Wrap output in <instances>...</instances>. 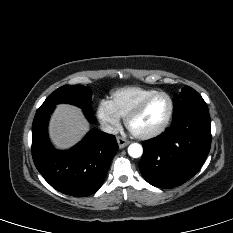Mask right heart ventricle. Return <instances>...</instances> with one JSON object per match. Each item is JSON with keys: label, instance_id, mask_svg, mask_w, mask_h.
Returning <instances> with one entry per match:
<instances>
[{"label": "right heart ventricle", "instance_id": "1", "mask_svg": "<svg viewBox=\"0 0 233 233\" xmlns=\"http://www.w3.org/2000/svg\"><path fill=\"white\" fill-rule=\"evenodd\" d=\"M157 92L155 89L138 86L123 87L111 93L110 104L120 118H126L129 112L145 97Z\"/></svg>", "mask_w": 233, "mask_h": 233}]
</instances>
